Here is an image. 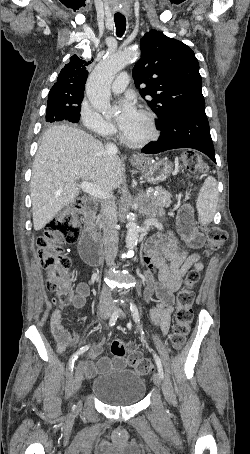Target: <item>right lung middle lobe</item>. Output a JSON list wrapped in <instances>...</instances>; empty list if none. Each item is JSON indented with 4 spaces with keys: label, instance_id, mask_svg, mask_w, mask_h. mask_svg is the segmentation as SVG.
<instances>
[{
    "label": "right lung middle lobe",
    "instance_id": "dd1d6c3e",
    "mask_svg": "<svg viewBox=\"0 0 250 454\" xmlns=\"http://www.w3.org/2000/svg\"><path fill=\"white\" fill-rule=\"evenodd\" d=\"M83 97L74 99L58 98L57 96H48L46 110V122L66 120L77 123L80 119V109Z\"/></svg>",
    "mask_w": 250,
    "mask_h": 454
}]
</instances>
